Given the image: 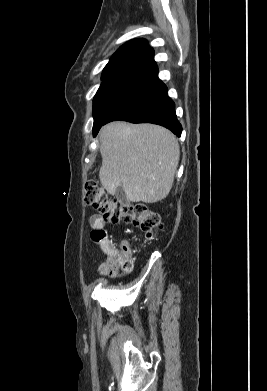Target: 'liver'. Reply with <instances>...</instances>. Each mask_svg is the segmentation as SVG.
<instances>
[{
    "label": "liver",
    "instance_id": "obj_1",
    "mask_svg": "<svg viewBox=\"0 0 267 391\" xmlns=\"http://www.w3.org/2000/svg\"><path fill=\"white\" fill-rule=\"evenodd\" d=\"M99 179L111 195L121 186L131 202L155 203L170 192L180 158L174 134L154 124L111 122L100 131Z\"/></svg>",
    "mask_w": 267,
    "mask_h": 391
}]
</instances>
